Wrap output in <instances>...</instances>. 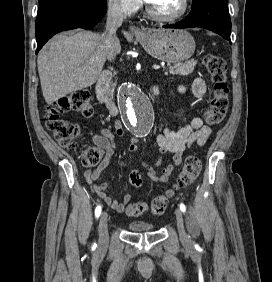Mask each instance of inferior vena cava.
Masks as SVG:
<instances>
[{
  "mask_svg": "<svg viewBox=\"0 0 272 282\" xmlns=\"http://www.w3.org/2000/svg\"><path fill=\"white\" fill-rule=\"evenodd\" d=\"M123 19H124L123 7L117 1H113L109 3L106 31L104 34L108 59H113V45L117 40L116 31L122 25Z\"/></svg>",
  "mask_w": 272,
  "mask_h": 282,
  "instance_id": "inferior-vena-cava-1",
  "label": "inferior vena cava"
}]
</instances>
